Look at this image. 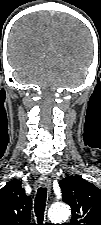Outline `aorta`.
<instances>
[{"label":"aorta","mask_w":101,"mask_h":225,"mask_svg":"<svg viewBox=\"0 0 101 225\" xmlns=\"http://www.w3.org/2000/svg\"><path fill=\"white\" fill-rule=\"evenodd\" d=\"M71 215L69 206L65 204H53L48 211V217L52 222H62Z\"/></svg>","instance_id":"obj_1"}]
</instances>
